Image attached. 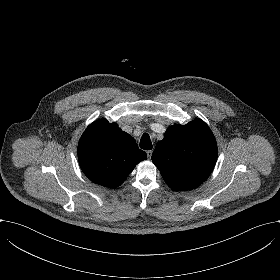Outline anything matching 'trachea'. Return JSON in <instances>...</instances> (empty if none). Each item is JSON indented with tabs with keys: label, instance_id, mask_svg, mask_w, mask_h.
<instances>
[{
	"label": "trachea",
	"instance_id": "1",
	"mask_svg": "<svg viewBox=\"0 0 280 280\" xmlns=\"http://www.w3.org/2000/svg\"><path fill=\"white\" fill-rule=\"evenodd\" d=\"M140 147L144 150H151L152 143L150 140V136L147 133H144L140 140Z\"/></svg>",
	"mask_w": 280,
	"mask_h": 280
}]
</instances>
